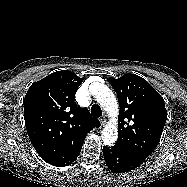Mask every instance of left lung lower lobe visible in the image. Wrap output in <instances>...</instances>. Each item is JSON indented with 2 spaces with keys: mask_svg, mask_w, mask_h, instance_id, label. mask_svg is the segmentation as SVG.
Listing matches in <instances>:
<instances>
[{
  "mask_svg": "<svg viewBox=\"0 0 187 187\" xmlns=\"http://www.w3.org/2000/svg\"><path fill=\"white\" fill-rule=\"evenodd\" d=\"M103 155L107 166L115 173L129 172L143 163L115 146L104 147Z\"/></svg>",
  "mask_w": 187,
  "mask_h": 187,
  "instance_id": "obj_1",
  "label": "left lung lower lobe"
}]
</instances>
